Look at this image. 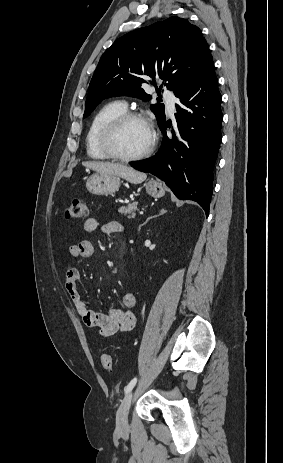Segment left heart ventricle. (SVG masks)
<instances>
[{
  "mask_svg": "<svg viewBox=\"0 0 283 463\" xmlns=\"http://www.w3.org/2000/svg\"><path fill=\"white\" fill-rule=\"evenodd\" d=\"M151 134L145 123L130 120L123 124L113 139L114 149L121 155L133 156L146 149Z\"/></svg>",
  "mask_w": 283,
  "mask_h": 463,
  "instance_id": "b2bd125f",
  "label": "left heart ventricle"
}]
</instances>
